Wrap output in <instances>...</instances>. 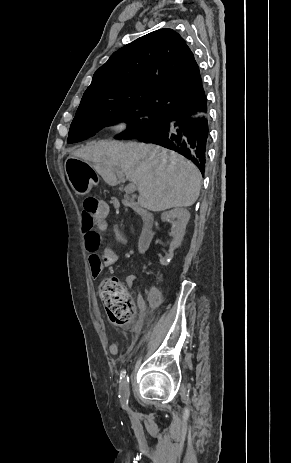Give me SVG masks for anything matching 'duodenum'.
Segmentation results:
<instances>
[{"instance_id":"410a0bca","label":"duodenum","mask_w":291,"mask_h":463,"mask_svg":"<svg viewBox=\"0 0 291 463\" xmlns=\"http://www.w3.org/2000/svg\"><path fill=\"white\" fill-rule=\"evenodd\" d=\"M124 201H128V198L124 197ZM130 209L135 212L137 215L141 214L143 226L141 230V234L138 240V249L141 252L146 251L154 237V217L147 211H144V206L142 204L137 205L133 203L130 206Z\"/></svg>"}]
</instances>
